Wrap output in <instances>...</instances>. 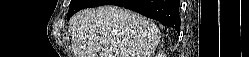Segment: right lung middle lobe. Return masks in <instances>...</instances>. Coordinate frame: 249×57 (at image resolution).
<instances>
[{"mask_svg":"<svg viewBox=\"0 0 249 57\" xmlns=\"http://www.w3.org/2000/svg\"><path fill=\"white\" fill-rule=\"evenodd\" d=\"M91 0H71L69 11H68V19L77 11L87 8L90 4Z\"/></svg>","mask_w":249,"mask_h":57,"instance_id":"right-lung-middle-lobe-1","label":"right lung middle lobe"}]
</instances>
